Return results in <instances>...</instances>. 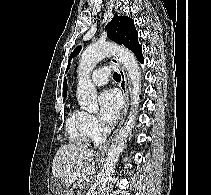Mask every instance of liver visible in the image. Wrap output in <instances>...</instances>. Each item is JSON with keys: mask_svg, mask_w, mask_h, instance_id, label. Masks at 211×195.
Segmentation results:
<instances>
[{"mask_svg": "<svg viewBox=\"0 0 211 195\" xmlns=\"http://www.w3.org/2000/svg\"><path fill=\"white\" fill-rule=\"evenodd\" d=\"M93 151L75 144L62 145L53 160L52 174L62 181L69 191H61V195H72L74 188L82 189L92 178L94 173ZM75 173L80 175L70 182Z\"/></svg>", "mask_w": 211, "mask_h": 195, "instance_id": "liver-1", "label": "liver"}]
</instances>
